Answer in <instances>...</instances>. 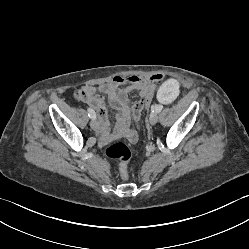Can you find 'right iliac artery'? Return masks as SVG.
Segmentation results:
<instances>
[{
  "label": "right iliac artery",
  "instance_id": "1",
  "mask_svg": "<svg viewBox=\"0 0 249 249\" xmlns=\"http://www.w3.org/2000/svg\"><path fill=\"white\" fill-rule=\"evenodd\" d=\"M87 112H88V116L91 118V119H96V113L93 109L91 108H88L87 109Z\"/></svg>",
  "mask_w": 249,
  "mask_h": 249
}]
</instances>
